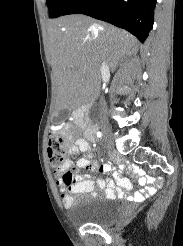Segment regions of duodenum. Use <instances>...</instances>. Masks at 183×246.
Wrapping results in <instances>:
<instances>
[{
	"label": "duodenum",
	"instance_id": "1",
	"mask_svg": "<svg viewBox=\"0 0 183 246\" xmlns=\"http://www.w3.org/2000/svg\"><path fill=\"white\" fill-rule=\"evenodd\" d=\"M89 108L88 104H83L81 108H76L75 111H71L70 115L74 116L75 121L85 129V133L88 139L95 140L94 132L95 128L90 124L86 118V111Z\"/></svg>",
	"mask_w": 183,
	"mask_h": 246
}]
</instances>
